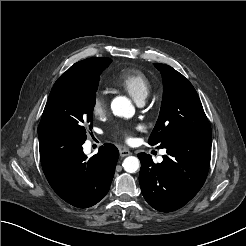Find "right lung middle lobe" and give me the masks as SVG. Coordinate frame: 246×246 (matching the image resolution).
Returning <instances> with one entry per match:
<instances>
[{
  "label": "right lung middle lobe",
  "instance_id": "right-lung-middle-lobe-1",
  "mask_svg": "<svg viewBox=\"0 0 246 246\" xmlns=\"http://www.w3.org/2000/svg\"><path fill=\"white\" fill-rule=\"evenodd\" d=\"M85 67L54 84L44 108L38 133L79 134L86 139L85 126L92 125L100 74L110 58H89Z\"/></svg>",
  "mask_w": 246,
  "mask_h": 246
}]
</instances>
